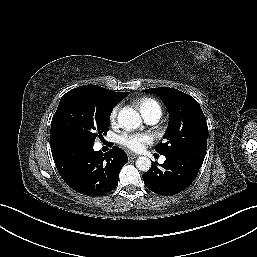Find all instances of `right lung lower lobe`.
<instances>
[{"instance_id": "1", "label": "right lung lower lobe", "mask_w": 257, "mask_h": 257, "mask_svg": "<svg viewBox=\"0 0 257 257\" xmlns=\"http://www.w3.org/2000/svg\"><path fill=\"white\" fill-rule=\"evenodd\" d=\"M56 168L75 191L87 196H102L118 184L119 172L128 162L126 153L113 147L102 154L93 144L69 141L51 146Z\"/></svg>"}]
</instances>
